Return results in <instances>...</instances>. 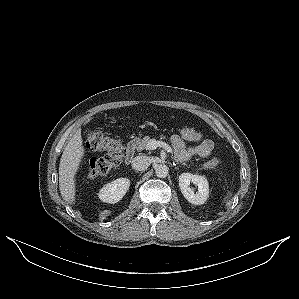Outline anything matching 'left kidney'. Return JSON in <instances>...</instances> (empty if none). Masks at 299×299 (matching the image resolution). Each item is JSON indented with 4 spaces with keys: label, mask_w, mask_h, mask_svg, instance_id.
I'll return each instance as SVG.
<instances>
[{
    "label": "left kidney",
    "mask_w": 299,
    "mask_h": 299,
    "mask_svg": "<svg viewBox=\"0 0 299 299\" xmlns=\"http://www.w3.org/2000/svg\"><path fill=\"white\" fill-rule=\"evenodd\" d=\"M190 183H193L198 187V191L196 193H194L193 189L190 187ZM179 187L183 196L191 204L201 205L207 200L209 195L208 181L201 175L182 173L179 176Z\"/></svg>",
    "instance_id": "obj_1"
}]
</instances>
